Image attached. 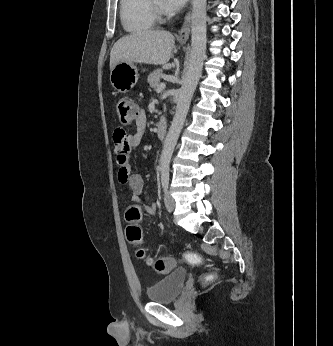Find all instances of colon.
<instances>
[{
    "label": "colon",
    "instance_id": "1",
    "mask_svg": "<svg viewBox=\"0 0 333 346\" xmlns=\"http://www.w3.org/2000/svg\"><path fill=\"white\" fill-rule=\"evenodd\" d=\"M117 113L123 124H129L136 120L139 114L135 103L127 99H120L117 102ZM125 219L128 223L126 228L127 240L130 245L137 248V257L145 259L148 265L152 266L156 272L160 274L169 273L176 265L173 258H146L145 250L140 247L142 243V231L139 226V221L141 219L140 207L135 204L129 206L125 213ZM199 253L198 249H193L190 253H187L185 257L187 260H192L195 256H198ZM181 257L183 258L184 256L182 255ZM190 265L192 268H199L202 264L199 261H192ZM211 278L215 279L216 275L212 274ZM198 286L199 288H208L209 283L208 281H199Z\"/></svg>",
    "mask_w": 333,
    "mask_h": 346
}]
</instances>
